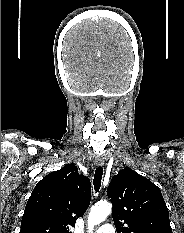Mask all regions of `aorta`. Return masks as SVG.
Wrapping results in <instances>:
<instances>
[{"label":"aorta","instance_id":"1","mask_svg":"<svg viewBox=\"0 0 184 233\" xmlns=\"http://www.w3.org/2000/svg\"><path fill=\"white\" fill-rule=\"evenodd\" d=\"M112 206L109 202H99L90 211L88 217L89 232L93 230L94 226L102 223L111 213Z\"/></svg>","mask_w":184,"mask_h":233}]
</instances>
